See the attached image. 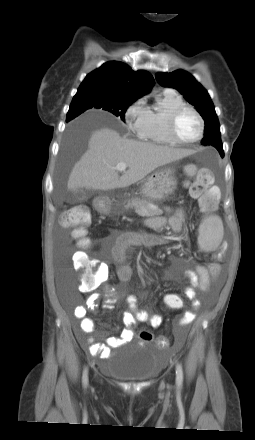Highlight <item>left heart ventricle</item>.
I'll list each match as a JSON object with an SVG mask.
<instances>
[{
  "label": "left heart ventricle",
  "instance_id": "1",
  "mask_svg": "<svg viewBox=\"0 0 255 440\" xmlns=\"http://www.w3.org/2000/svg\"><path fill=\"white\" fill-rule=\"evenodd\" d=\"M198 118L190 111L182 113L177 122V134L185 141L195 139L199 134Z\"/></svg>",
  "mask_w": 255,
  "mask_h": 440
}]
</instances>
